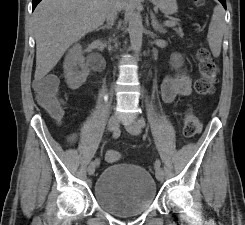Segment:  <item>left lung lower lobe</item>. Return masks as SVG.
I'll return each mask as SVG.
<instances>
[{"mask_svg":"<svg viewBox=\"0 0 245 225\" xmlns=\"http://www.w3.org/2000/svg\"><path fill=\"white\" fill-rule=\"evenodd\" d=\"M221 2V4L224 6V8L226 9V0H219Z\"/></svg>","mask_w":245,"mask_h":225,"instance_id":"obj_1","label":"left lung lower lobe"}]
</instances>
